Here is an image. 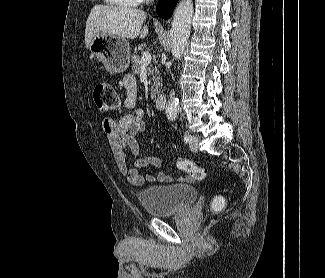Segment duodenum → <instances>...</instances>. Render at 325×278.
<instances>
[{
  "mask_svg": "<svg viewBox=\"0 0 325 278\" xmlns=\"http://www.w3.org/2000/svg\"><path fill=\"white\" fill-rule=\"evenodd\" d=\"M154 104H155L156 109L164 110V108L166 106V98L163 95H157L154 98Z\"/></svg>",
  "mask_w": 325,
  "mask_h": 278,
  "instance_id": "duodenum-1",
  "label": "duodenum"
}]
</instances>
